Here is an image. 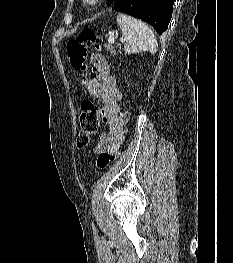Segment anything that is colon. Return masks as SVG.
<instances>
[{"mask_svg":"<svg viewBox=\"0 0 233 263\" xmlns=\"http://www.w3.org/2000/svg\"><path fill=\"white\" fill-rule=\"evenodd\" d=\"M102 43L101 37L93 30L85 28L81 30L75 38L68 41L66 50L69 57V62L72 68L78 71H85L88 50L91 48L100 49ZM101 114L99 109L90 100H83L80 105L79 125L76 144L78 148H84L88 145L90 138L98 130ZM120 118L125 125V133L127 132V123L130 119V114L127 110L120 113ZM119 154L101 153L97 160V167L103 169L113 163Z\"/></svg>","mask_w":233,"mask_h":263,"instance_id":"5ec220e1","label":"colon"}]
</instances>
